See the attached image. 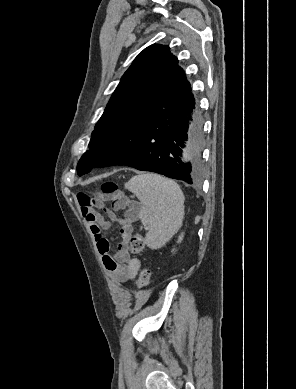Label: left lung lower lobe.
<instances>
[{
	"label": "left lung lower lobe",
	"instance_id": "1",
	"mask_svg": "<svg viewBox=\"0 0 296 389\" xmlns=\"http://www.w3.org/2000/svg\"><path fill=\"white\" fill-rule=\"evenodd\" d=\"M201 125L184 72L163 82L109 129L95 148L99 167L126 165L192 184L199 173ZM187 141V163L180 160Z\"/></svg>",
	"mask_w": 296,
	"mask_h": 389
}]
</instances>
